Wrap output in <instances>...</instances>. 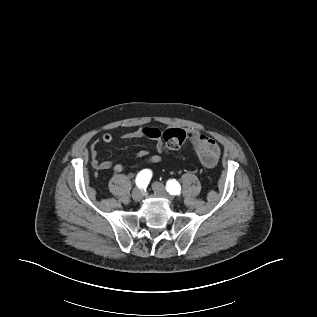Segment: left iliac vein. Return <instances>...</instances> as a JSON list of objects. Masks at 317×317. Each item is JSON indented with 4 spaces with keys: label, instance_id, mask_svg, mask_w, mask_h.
Listing matches in <instances>:
<instances>
[{
    "label": "left iliac vein",
    "instance_id": "left-iliac-vein-1",
    "mask_svg": "<svg viewBox=\"0 0 317 317\" xmlns=\"http://www.w3.org/2000/svg\"><path fill=\"white\" fill-rule=\"evenodd\" d=\"M152 189L154 190L155 193L167 198L169 201L173 200V197L167 193L165 186L162 183L154 182L152 184Z\"/></svg>",
    "mask_w": 317,
    "mask_h": 317
}]
</instances>
